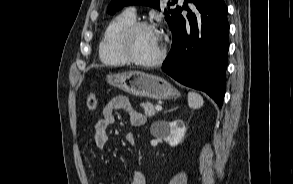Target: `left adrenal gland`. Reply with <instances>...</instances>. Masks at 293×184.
I'll use <instances>...</instances> for the list:
<instances>
[{
    "label": "left adrenal gland",
    "instance_id": "obj_1",
    "mask_svg": "<svg viewBox=\"0 0 293 184\" xmlns=\"http://www.w3.org/2000/svg\"><path fill=\"white\" fill-rule=\"evenodd\" d=\"M176 109H178V107H175L174 109H171V110H169V111H173V110H176Z\"/></svg>",
    "mask_w": 293,
    "mask_h": 184
}]
</instances>
